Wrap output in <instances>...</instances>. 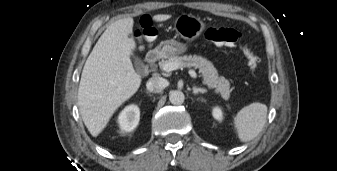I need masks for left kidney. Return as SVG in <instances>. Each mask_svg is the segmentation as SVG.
<instances>
[{"label": "left kidney", "mask_w": 337, "mask_h": 171, "mask_svg": "<svg viewBox=\"0 0 337 171\" xmlns=\"http://www.w3.org/2000/svg\"><path fill=\"white\" fill-rule=\"evenodd\" d=\"M212 115L218 121H222L223 119V113L219 107L213 108Z\"/></svg>", "instance_id": "5707ae66"}]
</instances>
